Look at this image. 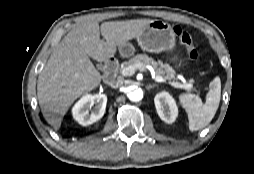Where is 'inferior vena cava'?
Returning <instances> with one entry per match:
<instances>
[{"mask_svg":"<svg viewBox=\"0 0 254 174\" xmlns=\"http://www.w3.org/2000/svg\"><path fill=\"white\" fill-rule=\"evenodd\" d=\"M123 84H124L123 80L118 79V80H113L112 82H110L109 85L112 88H120L123 86Z\"/></svg>","mask_w":254,"mask_h":174,"instance_id":"602c4592","label":"inferior vena cava"}]
</instances>
